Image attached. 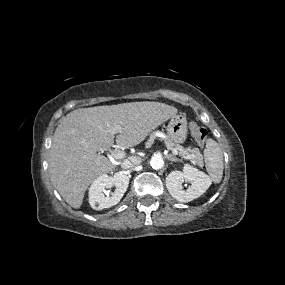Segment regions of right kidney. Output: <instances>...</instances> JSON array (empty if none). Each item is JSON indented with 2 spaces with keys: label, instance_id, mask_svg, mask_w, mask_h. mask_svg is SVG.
<instances>
[{
  "label": "right kidney",
  "instance_id": "ca27d5eb",
  "mask_svg": "<svg viewBox=\"0 0 285 285\" xmlns=\"http://www.w3.org/2000/svg\"><path fill=\"white\" fill-rule=\"evenodd\" d=\"M129 184L128 176L115 173L112 176L103 174L97 177L89 188V203L94 210H102L119 203ZM115 187V191L109 193L106 189Z\"/></svg>",
  "mask_w": 285,
  "mask_h": 285
}]
</instances>
